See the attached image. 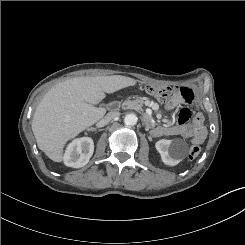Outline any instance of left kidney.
Instances as JSON below:
<instances>
[{
    "label": "left kidney",
    "instance_id": "5707ae66",
    "mask_svg": "<svg viewBox=\"0 0 245 245\" xmlns=\"http://www.w3.org/2000/svg\"><path fill=\"white\" fill-rule=\"evenodd\" d=\"M172 145L173 141L168 139H161L155 143L162 162L168 166L178 165L185 154V149L181 144L176 143Z\"/></svg>",
    "mask_w": 245,
    "mask_h": 245
}]
</instances>
